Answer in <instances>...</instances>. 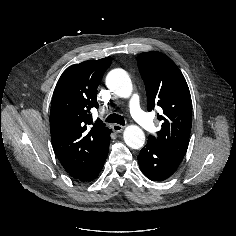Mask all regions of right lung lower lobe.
I'll return each instance as SVG.
<instances>
[{
    "label": "right lung lower lobe",
    "instance_id": "1",
    "mask_svg": "<svg viewBox=\"0 0 236 236\" xmlns=\"http://www.w3.org/2000/svg\"><path fill=\"white\" fill-rule=\"evenodd\" d=\"M107 154H108V150L103 155V157L101 159H99L98 162L86 174H84L82 177L78 178V180L83 181V182H90V181L94 180L98 176L99 172L101 171V169L104 165V162L107 158Z\"/></svg>",
    "mask_w": 236,
    "mask_h": 236
}]
</instances>
